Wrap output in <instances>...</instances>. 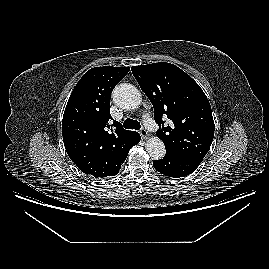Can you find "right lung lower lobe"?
<instances>
[{
	"instance_id": "98d812e1",
	"label": "right lung lower lobe",
	"mask_w": 269,
	"mask_h": 269,
	"mask_svg": "<svg viewBox=\"0 0 269 269\" xmlns=\"http://www.w3.org/2000/svg\"><path fill=\"white\" fill-rule=\"evenodd\" d=\"M140 139H141V137L137 132H135V134H133L130 137L128 143L126 144V148H124V156H123L124 159H126L128 152H129V149L131 147H133L134 145L138 144Z\"/></svg>"
}]
</instances>
